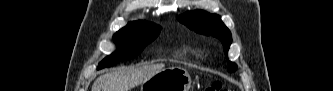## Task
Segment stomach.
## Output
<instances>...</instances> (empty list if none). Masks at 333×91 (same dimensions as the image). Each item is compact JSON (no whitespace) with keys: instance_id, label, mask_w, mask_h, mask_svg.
I'll return each instance as SVG.
<instances>
[{"instance_id":"0dacf381","label":"stomach","mask_w":333,"mask_h":91,"mask_svg":"<svg viewBox=\"0 0 333 91\" xmlns=\"http://www.w3.org/2000/svg\"><path fill=\"white\" fill-rule=\"evenodd\" d=\"M191 77L182 67L164 68L141 84L140 91H190Z\"/></svg>"}]
</instances>
